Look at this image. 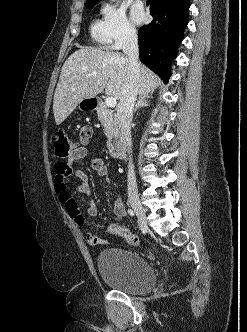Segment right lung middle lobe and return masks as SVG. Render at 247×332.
Segmentation results:
<instances>
[{
    "instance_id": "1",
    "label": "right lung middle lobe",
    "mask_w": 247,
    "mask_h": 332,
    "mask_svg": "<svg viewBox=\"0 0 247 332\" xmlns=\"http://www.w3.org/2000/svg\"><path fill=\"white\" fill-rule=\"evenodd\" d=\"M93 6H94V4L86 5L87 8H91Z\"/></svg>"
}]
</instances>
